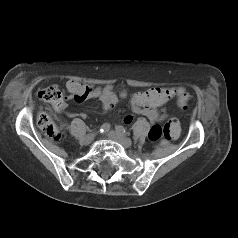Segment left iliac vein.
Returning a JSON list of instances; mask_svg holds the SVG:
<instances>
[{
    "mask_svg": "<svg viewBox=\"0 0 238 238\" xmlns=\"http://www.w3.org/2000/svg\"><path fill=\"white\" fill-rule=\"evenodd\" d=\"M108 137L119 144H121L124 148H129L132 145V141L126 138L123 134L117 131H110L108 132Z\"/></svg>",
    "mask_w": 238,
    "mask_h": 238,
    "instance_id": "4c4485c4",
    "label": "left iliac vein"
}]
</instances>
